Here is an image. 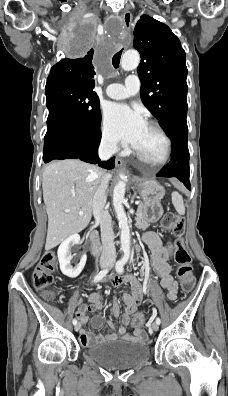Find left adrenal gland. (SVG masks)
Segmentation results:
<instances>
[{"label":"left adrenal gland","mask_w":228,"mask_h":396,"mask_svg":"<svg viewBox=\"0 0 228 396\" xmlns=\"http://www.w3.org/2000/svg\"><path fill=\"white\" fill-rule=\"evenodd\" d=\"M131 202H132V203L134 202V197L131 199Z\"/></svg>","instance_id":"obj_1"}]
</instances>
